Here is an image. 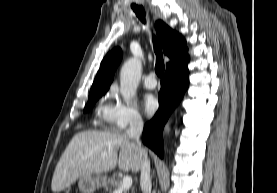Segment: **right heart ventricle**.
Wrapping results in <instances>:
<instances>
[{
    "instance_id": "obj_1",
    "label": "right heart ventricle",
    "mask_w": 277,
    "mask_h": 193,
    "mask_svg": "<svg viewBox=\"0 0 277 193\" xmlns=\"http://www.w3.org/2000/svg\"><path fill=\"white\" fill-rule=\"evenodd\" d=\"M113 106L107 102L101 103L97 108L98 117L105 123H109V118L112 112Z\"/></svg>"
}]
</instances>
